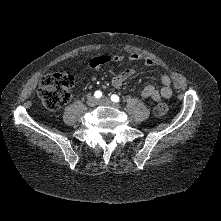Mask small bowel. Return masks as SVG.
Instances as JSON below:
<instances>
[{
  "label": "small bowel",
  "instance_id": "obj_1",
  "mask_svg": "<svg viewBox=\"0 0 221 221\" xmlns=\"http://www.w3.org/2000/svg\"><path fill=\"white\" fill-rule=\"evenodd\" d=\"M124 59L125 57L121 55H99L89 61V67L91 69L98 70L105 65L121 62ZM127 59L131 62L142 61L148 67H152L154 65V61L152 59L141 56L137 53L130 54ZM135 73L136 70L134 68L123 70L112 78V86L115 88H120L124 82L132 77ZM160 81L162 84L160 89L153 84L145 86L141 91L142 97L152 99L153 101H160L162 98H170L172 96L171 78L168 75L163 74L160 77Z\"/></svg>",
  "mask_w": 221,
  "mask_h": 221
}]
</instances>
